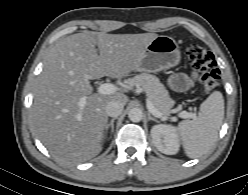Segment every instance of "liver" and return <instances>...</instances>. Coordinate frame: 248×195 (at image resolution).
<instances>
[{
    "label": "liver",
    "instance_id": "obj_1",
    "mask_svg": "<svg viewBox=\"0 0 248 195\" xmlns=\"http://www.w3.org/2000/svg\"><path fill=\"white\" fill-rule=\"evenodd\" d=\"M156 37L155 33L84 31L61 39L50 49L35 90L31 122L56 160L81 163L100 153L99 136L108 121L105 107L112 100L125 105L128 97L123 92L93 93L90 80L127 77Z\"/></svg>",
    "mask_w": 248,
    "mask_h": 195
}]
</instances>
